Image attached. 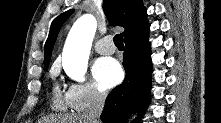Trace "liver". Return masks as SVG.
Returning <instances> with one entry per match:
<instances>
[{
  "label": "liver",
  "mask_w": 221,
  "mask_h": 123,
  "mask_svg": "<svg viewBox=\"0 0 221 123\" xmlns=\"http://www.w3.org/2000/svg\"><path fill=\"white\" fill-rule=\"evenodd\" d=\"M48 123H91L85 114L58 117L57 119H48Z\"/></svg>",
  "instance_id": "6515ba94"
}]
</instances>
